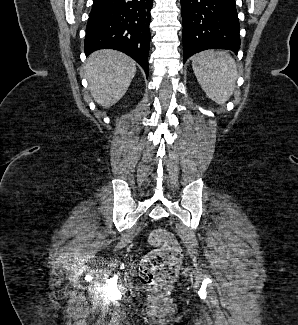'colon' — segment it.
Wrapping results in <instances>:
<instances>
[{"label":"colon","instance_id":"colon-1","mask_svg":"<svg viewBox=\"0 0 298 325\" xmlns=\"http://www.w3.org/2000/svg\"><path fill=\"white\" fill-rule=\"evenodd\" d=\"M154 247L142 260L140 279L143 284L163 288L172 284L182 261V250L175 236L167 230L156 229L149 236Z\"/></svg>","mask_w":298,"mask_h":325}]
</instances>
